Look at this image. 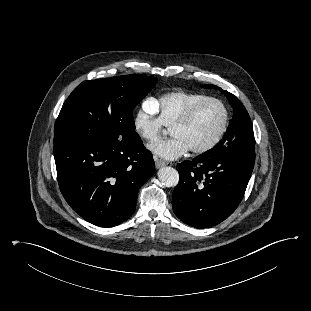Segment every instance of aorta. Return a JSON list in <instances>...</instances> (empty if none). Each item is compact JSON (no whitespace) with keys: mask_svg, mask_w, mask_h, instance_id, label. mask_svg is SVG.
Listing matches in <instances>:
<instances>
[{"mask_svg":"<svg viewBox=\"0 0 311 311\" xmlns=\"http://www.w3.org/2000/svg\"><path fill=\"white\" fill-rule=\"evenodd\" d=\"M160 182L166 187H175L179 182V174L172 167H162L158 171Z\"/></svg>","mask_w":311,"mask_h":311,"instance_id":"obj_1","label":"aorta"}]
</instances>
